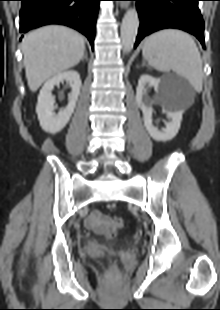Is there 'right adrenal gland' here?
<instances>
[{
  "mask_svg": "<svg viewBox=\"0 0 220 310\" xmlns=\"http://www.w3.org/2000/svg\"><path fill=\"white\" fill-rule=\"evenodd\" d=\"M83 59L87 60L88 61V58H87V53H85V55L83 56Z\"/></svg>",
  "mask_w": 220,
  "mask_h": 310,
  "instance_id": "2a0ac1e0",
  "label": "right adrenal gland"
}]
</instances>
